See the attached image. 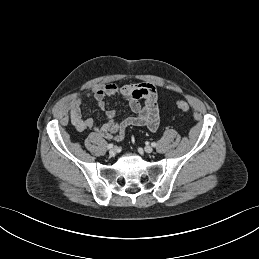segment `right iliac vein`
Returning <instances> with one entry per match:
<instances>
[{
	"label": "right iliac vein",
	"mask_w": 259,
	"mask_h": 259,
	"mask_svg": "<svg viewBox=\"0 0 259 259\" xmlns=\"http://www.w3.org/2000/svg\"><path fill=\"white\" fill-rule=\"evenodd\" d=\"M116 153H117V148H116V147H113V148L109 151L110 156H115Z\"/></svg>",
	"instance_id": "63e3f726"
}]
</instances>
